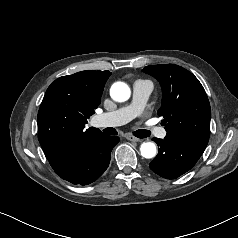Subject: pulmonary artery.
<instances>
[{
	"label": "pulmonary artery",
	"mask_w": 238,
	"mask_h": 238,
	"mask_svg": "<svg viewBox=\"0 0 238 238\" xmlns=\"http://www.w3.org/2000/svg\"><path fill=\"white\" fill-rule=\"evenodd\" d=\"M132 90V101L129 105L103 113L96 117V124L98 127L120 126L141 115L153 90V85L147 80H136ZM152 130L158 131L162 136L165 135V132L162 129L151 126L149 131L151 132Z\"/></svg>",
	"instance_id": "e3ab8cb5"
}]
</instances>
